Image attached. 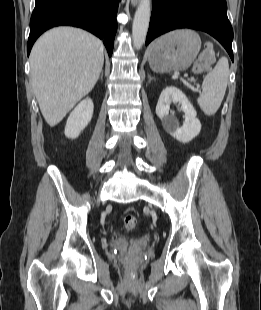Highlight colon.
<instances>
[{
  "instance_id": "1",
  "label": "colon",
  "mask_w": 261,
  "mask_h": 310,
  "mask_svg": "<svg viewBox=\"0 0 261 310\" xmlns=\"http://www.w3.org/2000/svg\"><path fill=\"white\" fill-rule=\"evenodd\" d=\"M215 61V52L211 47L205 48L198 56L195 64L194 71L202 73L211 68ZM124 227L127 231L135 229L137 226V218L134 215H126L123 219Z\"/></svg>"
}]
</instances>
